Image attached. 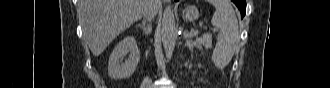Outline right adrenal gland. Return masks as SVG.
Segmentation results:
<instances>
[{"instance_id":"1","label":"right adrenal gland","mask_w":330,"mask_h":88,"mask_svg":"<svg viewBox=\"0 0 330 88\" xmlns=\"http://www.w3.org/2000/svg\"><path fill=\"white\" fill-rule=\"evenodd\" d=\"M136 26L140 27L143 30V32L145 33V35L149 34L150 27H151L150 23L146 24V21H143L142 24L138 23V24H136Z\"/></svg>"}]
</instances>
